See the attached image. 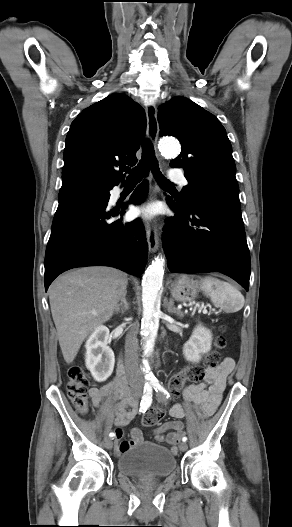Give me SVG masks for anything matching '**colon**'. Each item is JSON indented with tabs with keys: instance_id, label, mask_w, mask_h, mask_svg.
<instances>
[{
	"instance_id": "colon-1",
	"label": "colon",
	"mask_w": 292,
	"mask_h": 527,
	"mask_svg": "<svg viewBox=\"0 0 292 527\" xmlns=\"http://www.w3.org/2000/svg\"><path fill=\"white\" fill-rule=\"evenodd\" d=\"M226 347V339L220 335L215 340V350L206 358L203 366H188L173 376L169 381V388L173 395H177L180 388L185 384H199L206 375V371L215 368L220 360V351ZM89 389L88 370L84 366L75 365L68 371L66 384L67 395L74 407L80 412L88 410L87 393ZM165 415V409L161 406L152 407L147 410L142 418L145 427L155 426L160 423Z\"/></svg>"
}]
</instances>
